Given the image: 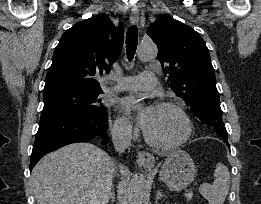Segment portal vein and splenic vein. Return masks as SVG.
Returning a JSON list of instances; mask_svg holds the SVG:
<instances>
[{
    "mask_svg": "<svg viewBox=\"0 0 261 204\" xmlns=\"http://www.w3.org/2000/svg\"><path fill=\"white\" fill-rule=\"evenodd\" d=\"M185 197L187 199V201H190L193 197V189L190 188L189 190L186 191L185 193Z\"/></svg>",
    "mask_w": 261,
    "mask_h": 204,
    "instance_id": "obj_1",
    "label": "portal vein and splenic vein"
}]
</instances>
